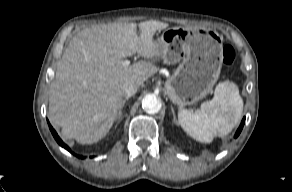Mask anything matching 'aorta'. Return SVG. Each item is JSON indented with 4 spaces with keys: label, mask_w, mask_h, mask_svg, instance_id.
Wrapping results in <instances>:
<instances>
[{
    "label": "aorta",
    "mask_w": 292,
    "mask_h": 192,
    "mask_svg": "<svg viewBox=\"0 0 292 192\" xmlns=\"http://www.w3.org/2000/svg\"><path fill=\"white\" fill-rule=\"evenodd\" d=\"M142 107L149 114L158 113L161 109V102L158 100L156 95L147 94L142 99Z\"/></svg>",
    "instance_id": "obj_1"
}]
</instances>
